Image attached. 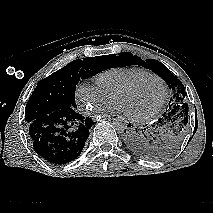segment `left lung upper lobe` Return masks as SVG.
Returning a JSON list of instances; mask_svg holds the SVG:
<instances>
[{
    "label": "left lung upper lobe",
    "instance_id": "5c2ea615",
    "mask_svg": "<svg viewBox=\"0 0 213 213\" xmlns=\"http://www.w3.org/2000/svg\"><path fill=\"white\" fill-rule=\"evenodd\" d=\"M120 63L116 66L123 67L129 65H140L149 70H152L159 75L173 91V96L169 101L168 108L165 114L164 127L157 136L154 144V159H162L171 155L179 147L188 122V105L185 101L186 91L181 81L174 76L161 62L154 59L142 60L138 56H133L129 52L120 53Z\"/></svg>",
    "mask_w": 213,
    "mask_h": 213
}]
</instances>
